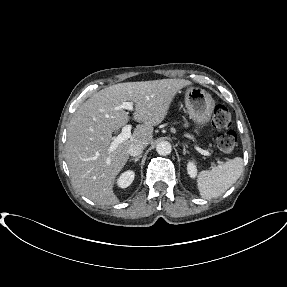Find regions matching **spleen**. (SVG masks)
<instances>
[{
  "label": "spleen",
  "mask_w": 287,
  "mask_h": 287,
  "mask_svg": "<svg viewBox=\"0 0 287 287\" xmlns=\"http://www.w3.org/2000/svg\"><path fill=\"white\" fill-rule=\"evenodd\" d=\"M243 172V160L240 157L229 159L212 170L199 173L197 187L203 199L219 197L227 191Z\"/></svg>",
  "instance_id": "1"
}]
</instances>
